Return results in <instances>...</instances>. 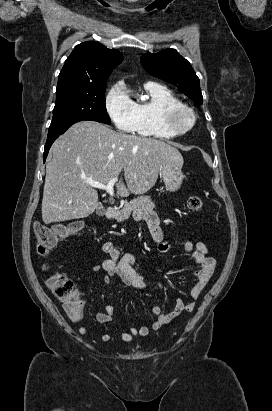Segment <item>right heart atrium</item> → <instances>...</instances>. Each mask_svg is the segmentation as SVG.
I'll return each mask as SVG.
<instances>
[{"mask_svg": "<svg viewBox=\"0 0 272 411\" xmlns=\"http://www.w3.org/2000/svg\"><path fill=\"white\" fill-rule=\"evenodd\" d=\"M105 110L114 126L123 132H133L136 122L134 102L124 87L113 85L105 96Z\"/></svg>", "mask_w": 272, "mask_h": 411, "instance_id": "1", "label": "right heart atrium"}]
</instances>
